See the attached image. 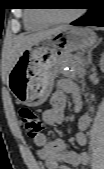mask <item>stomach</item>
Returning a JSON list of instances; mask_svg holds the SVG:
<instances>
[{
    "label": "stomach",
    "instance_id": "0dacf381",
    "mask_svg": "<svg viewBox=\"0 0 104 169\" xmlns=\"http://www.w3.org/2000/svg\"><path fill=\"white\" fill-rule=\"evenodd\" d=\"M96 41L93 30L68 26L26 49L9 73L8 86L17 102L27 106L45 102L65 57Z\"/></svg>",
    "mask_w": 104,
    "mask_h": 169
}]
</instances>
